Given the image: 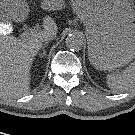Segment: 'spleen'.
Returning <instances> with one entry per match:
<instances>
[{
    "label": "spleen",
    "mask_w": 135,
    "mask_h": 135,
    "mask_svg": "<svg viewBox=\"0 0 135 135\" xmlns=\"http://www.w3.org/2000/svg\"><path fill=\"white\" fill-rule=\"evenodd\" d=\"M107 85L115 92H124L135 86V61L122 73L108 74Z\"/></svg>",
    "instance_id": "3e777b00"
}]
</instances>
